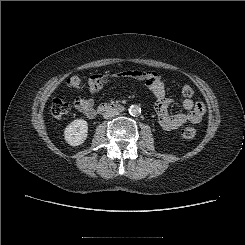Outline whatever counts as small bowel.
<instances>
[{
    "instance_id": "small-bowel-1",
    "label": "small bowel",
    "mask_w": 245,
    "mask_h": 245,
    "mask_svg": "<svg viewBox=\"0 0 245 245\" xmlns=\"http://www.w3.org/2000/svg\"><path fill=\"white\" fill-rule=\"evenodd\" d=\"M118 78H131L142 81L149 92L156 99L155 111L159 125L164 131L175 130L186 123H199L204 114L205 106L202 102H194L191 98L182 101V107L187 113L170 114L168 106L172 100L166 96V81L153 71L128 70L117 74H97L88 81L90 91L99 90L104 84ZM98 83V85H96ZM94 100L91 98L78 97L75 99V107L87 117L94 116Z\"/></svg>"
}]
</instances>
